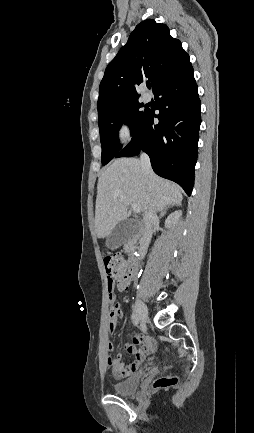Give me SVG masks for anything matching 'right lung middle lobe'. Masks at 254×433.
<instances>
[{
  "label": "right lung middle lobe",
  "mask_w": 254,
  "mask_h": 433,
  "mask_svg": "<svg viewBox=\"0 0 254 433\" xmlns=\"http://www.w3.org/2000/svg\"><path fill=\"white\" fill-rule=\"evenodd\" d=\"M142 107L143 104L137 100L98 113L103 165L111 161L121 150L118 140L120 126L125 122L130 126L132 134L136 130L148 111L147 109L141 110Z\"/></svg>",
  "instance_id": "right-lung-middle-lobe-1"
}]
</instances>
